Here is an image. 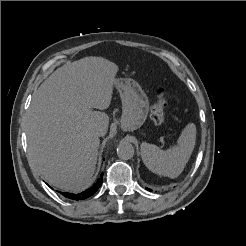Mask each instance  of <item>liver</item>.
I'll use <instances>...</instances> for the list:
<instances>
[{
    "mask_svg": "<svg viewBox=\"0 0 246 246\" xmlns=\"http://www.w3.org/2000/svg\"><path fill=\"white\" fill-rule=\"evenodd\" d=\"M118 66L101 57H86L52 73L34 92L25 131L28 154L52 186L80 192L92 183L99 136L107 132L109 107Z\"/></svg>",
    "mask_w": 246,
    "mask_h": 246,
    "instance_id": "liver-1",
    "label": "liver"
}]
</instances>
